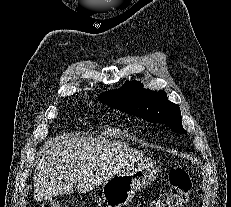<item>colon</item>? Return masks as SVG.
<instances>
[{"label": "colon", "instance_id": "obj_1", "mask_svg": "<svg viewBox=\"0 0 231 207\" xmlns=\"http://www.w3.org/2000/svg\"><path fill=\"white\" fill-rule=\"evenodd\" d=\"M170 189L158 195L150 207H184L192 187L191 178L186 170L174 167L169 171ZM42 207H64L57 199H50Z\"/></svg>", "mask_w": 231, "mask_h": 207}]
</instances>
